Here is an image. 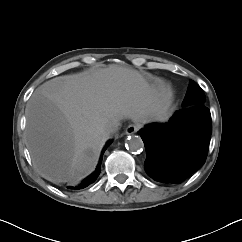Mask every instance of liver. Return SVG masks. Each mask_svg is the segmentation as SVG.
I'll return each instance as SVG.
<instances>
[{
	"label": "liver",
	"instance_id": "6515ba94",
	"mask_svg": "<svg viewBox=\"0 0 242 242\" xmlns=\"http://www.w3.org/2000/svg\"><path fill=\"white\" fill-rule=\"evenodd\" d=\"M171 103L164 85L117 65L59 76L36 89L26 106L27 147L42 177L74 184L95 170L108 123L165 121Z\"/></svg>",
	"mask_w": 242,
	"mask_h": 242
}]
</instances>
